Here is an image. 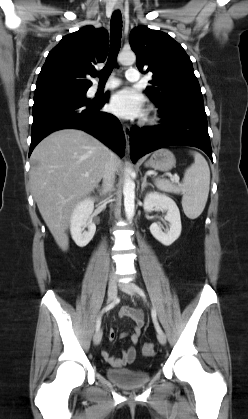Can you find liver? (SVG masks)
I'll return each instance as SVG.
<instances>
[{
    "label": "liver",
    "instance_id": "1",
    "mask_svg": "<svg viewBox=\"0 0 248 419\" xmlns=\"http://www.w3.org/2000/svg\"><path fill=\"white\" fill-rule=\"evenodd\" d=\"M111 151L84 131L64 129L44 138L31 154L33 197L58 246L66 251L71 213L103 177ZM116 169L121 166L114 157Z\"/></svg>",
    "mask_w": 248,
    "mask_h": 419
}]
</instances>
